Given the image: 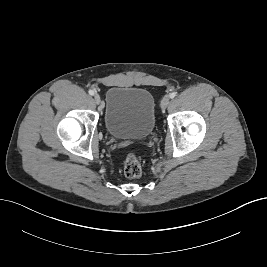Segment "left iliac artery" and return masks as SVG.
Returning a JSON list of instances; mask_svg holds the SVG:
<instances>
[{"instance_id":"1","label":"left iliac artery","mask_w":267,"mask_h":267,"mask_svg":"<svg viewBox=\"0 0 267 267\" xmlns=\"http://www.w3.org/2000/svg\"><path fill=\"white\" fill-rule=\"evenodd\" d=\"M170 98H174L175 96H176V92H172V93H170Z\"/></svg>"}]
</instances>
